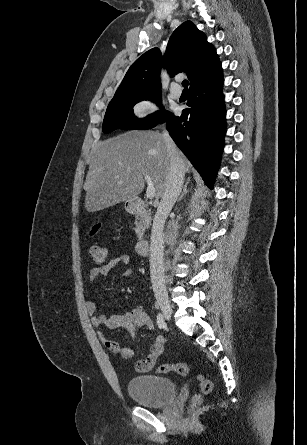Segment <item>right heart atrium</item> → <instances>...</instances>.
Returning a JSON list of instances; mask_svg holds the SVG:
<instances>
[{
	"mask_svg": "<svg viewBox=\"0 0 307 445\" xmlns=\"http://www.w3.org/2000/svg\"><path fill=\"white\" fill-rule=\"evenodd\" d=\"M161 110V104L157 97H146L138 104L137 119L149 121L155 118Z\"/></svg>",
	"mask_w": 307,
	"mask_h": 445,
	"instance_id": "d8ad5b80",
	"label": "right heart atrium"
}]
</instances>
